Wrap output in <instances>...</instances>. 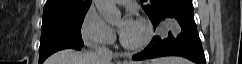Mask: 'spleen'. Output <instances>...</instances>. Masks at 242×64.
Wrapping results in <instances>:
<instances>
[{
    "label": "spleen",
    "mask_w": 242,
    "mask_h": 64,
    "mask_svg": "<svg viewBox=\"0 0 242 64\" xmlns=\"http://www.w3.org/2000/svg\"><path fill=\"white\" fill-rule=\"evenodd\" d=\"M152 64H191L188 60L181 57H163L154 59Z\"/></svg>",
    "instance_id": "spleen-1"
}]
</instances>
